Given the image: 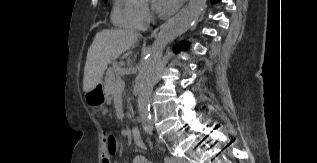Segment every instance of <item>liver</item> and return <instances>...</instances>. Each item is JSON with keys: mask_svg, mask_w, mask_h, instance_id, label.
Segmentation results:
<instances>
[{"mask_svg": "<svg viewBox=\"0 0 317 163\" xmlns=\"http://www.w3.org/2000/svg\"><path fill=\"white\" fill-rule=\"evenodd\" d=\"M139 38V33L123 29H104L96 34L88 49L84 67L83 90L91 91L102 82L108 64L129 50Z\"/></svg>", "mask_w": 317, "mask_h": 163, "instance_id": "obj_1", "label": "liver"}]
</instances>
